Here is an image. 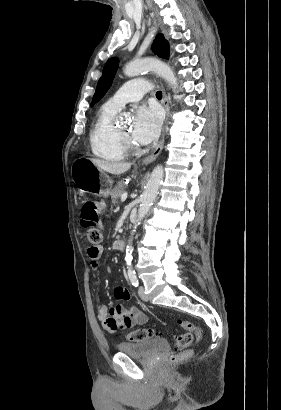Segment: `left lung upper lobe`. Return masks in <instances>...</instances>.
I'll return each instance as SVG.
<instances>
[{
	"mask_svg": "<svg viewBox=\"0 0 281 410\" xmlns=\"http://www.w3.org/2000/svg\"><path fill=\"white\" fill-rule=\"evenodd\" d=\"M153 52L161 58L168 59L169 58V44L165 40L162 34H158L152 44ZM118 66V59L111 58L109 59L102 72V76L98 81L96 92L93 96L91 106H93L96 102H98L104 94L107 92L109 87L112 84V80L115 76Z\"/></svg>",
	"mask_w": 281,
	"mask_h": 410,
	"instance_id": "5c2ea615",
	"label": "left lung upper lobe"
}]
</instances>
